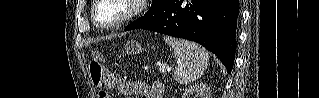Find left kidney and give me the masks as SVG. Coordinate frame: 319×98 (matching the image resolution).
<instances>
[{
	"label": "left kidney",
	"instance_id": "5707ae66",
	"mask_svg": "<svg viewBox=\"0 0 319 98\" xmlns=\"http://www.w3.org/2000/svg\"><path fill=\"white\" fill-rule=\"evenodd\" d=\"M211 89L206 84H196L186 88L182 98H210Z\"/></svg>",
	"mask_w": 319,
	"mask_h": 98
}]
</instances>
